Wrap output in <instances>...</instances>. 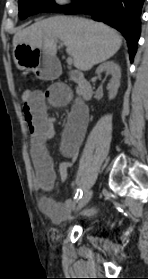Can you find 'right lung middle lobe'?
<instances>
[{
    "mask_svg": "<svg viewBox=\"0 0 148 279\" xmlns=\"http://www.w3.org/2000/svg\"><path fill=\"white\" fill-rule=\"evenodd\" d=\"M84 0H75L74 4L80 3ZM72 4V5H74ZM70 5V6H72ZM19 17L25 19L28 16L40 13V12H63L70 6H58L54 0H18Z\"/></svg>",
    "mask_w": 148,
    "mask_h": 279,
    "instance_id": "right-lung-middle-lobe-1",
    "label": "right lung middle lobe"
}]
</instances>
